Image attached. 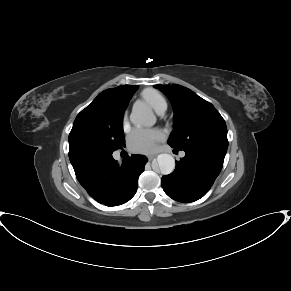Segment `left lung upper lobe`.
I'll return each instance as SVG.
<instances>
[{"label":"left lung upper lobe","instance_id":"5c2ea615","mask_svg":"<svg viewBox=\"0 0 291 291\" xmlns=\"http://www.w3.org/2000/svg\"><path fill=\"white\" fill-rule=\"evenodd\" d=\"M170 100L174 131L168 144L179 150L190 147L228 148L227 127L215 107L192 90L174 85H155Z\"/></svg>","mask_w":291,"mask_h":291}]
</instances>
